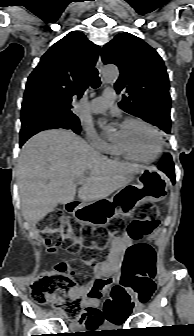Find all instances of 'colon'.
<instances>
[{
    "instance_id": "obj_1",
    "label": "colon",
    "mask_w": 194,
    "mask_h": 336,
    "mask_svg": "<svg viewBox=\"0 0 194 336\" xmlns=\"http://www.w3.org/2000/svg\"><path fill=\"white\" fill-rule=\"evenodd\" d=\"M157 209L153 205H147L141 218L132 221L128 228L129 236L139 240L152 234L159 226ZM120 221L113 222V227L119 228ZM39 231L43 235L45 244L50 251H54L62 244L72 251H79L81 259L58 263L55 271L42 274L33 282L30 289L32 300L38 304H47L59 294H65V298L59 300L56 305L69 319H79L82 312L81 296L75 293L77 289L76 277L88 274V265L97 259L106 249V239L97 238L94 242H88L77 236L73 231V223L69 222L61 211L49 213L40 223ZM71 231V232H70ZM140 272L148 273L147 281L150 283L154 276L153 252L145 246L133 245L126 253L123 263V275L119 283L106 280L100 286L90 292V296L100 298L102 290L106 288L110 299L105 308L107 319L116 323L124 318L131 310L136 299L144 301L147 293L140 291L132 295L126 291L127 287L134 286L137 275Z\"/></svg>"
}]
</instances>
